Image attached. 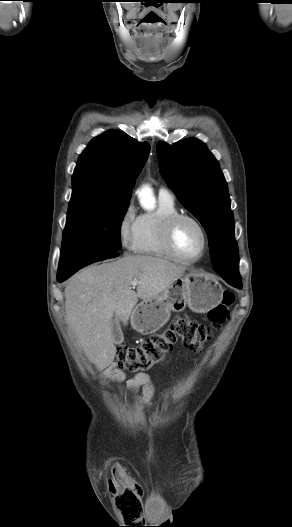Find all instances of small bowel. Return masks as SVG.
<instances>
[{
    "label": "small bowel",
    "instance_id": "small-bowel-1",
    "mask_svg": "<svg viewBox=\"0 0 292 527\" xmlns=\"http://www.w3.org/2000/svg\"><path fill=\"white\" fill-rule=\"evenodd\" d=\"M107 376L110 380L117 383L126 382L128 389L132 392H137V390L141 388L142 394L137 398V402L141 406L148 405L154 396V386L150 377L145 373H138L127 379L122 370L115 368V366L112 365L107 370Z\"/></svg>",
    "mask_w": 292,
    "mask_h": 527
}]
</instances>
